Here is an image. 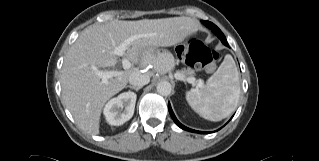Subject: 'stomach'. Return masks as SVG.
I'll list each match as a JSON object with an SVG mask.
<instances>
[{
    "instance_id": "1",
    "label": "stomach",
    "mask_w": 319,
    "mask_h": 161,
    "mask_svg": "<svg viewBox=\"0 0 319 161\" xmlns=\"http://www.w3.org/2000/svg\"><path fill=\"white\" fill-rule=\"evenodd\" d=\"M144 56L151 59L158 70L165 73L171 71L175 66V60L173 55L164 49H158L151 47L145 50Z\"/></svg>"
}]
</instances>
